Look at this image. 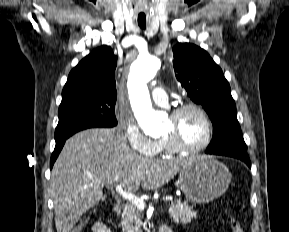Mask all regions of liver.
I'll use <instances>...</instances> for the list:
<instances>
[{
    "label": "liver",
    "mask_w": 289,
    "mask_h": 232,
    "mask_svg": "<svg viewBox=\"0 0 289 232\" xmlns=\"http://www.w3.org/2000/svg\"><path fill=\"white\" fill-rule=\"evenodd\" d=\"M188 159H151L133 152L118 129H87L64 144L51 173L57 232H70L102 198L103 187L135 192L168 183Z\"/></svg>",
    "instance_id": "liver-1"
}]
</instances>
